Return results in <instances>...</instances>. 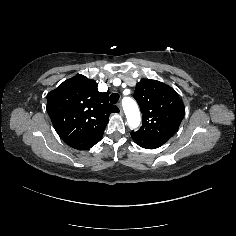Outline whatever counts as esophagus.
Wrapping results in <instances>:
<instances>
[{
    "mask_svg": "<svg viewBox=\"0 0 236 236\" xmlns=\"http://www.w3.org/2000/svg\"><path fill=\"white\" fill-rule=\"evenodd\" d=\"M119 110H120V114L123 115V110H122V106L119 104Z\"/></svg>",
    "mask_w": 236,
    "mask_h": 236,
    "instance_id": "1",
    "label": "esophagus"
}]
</instances>
